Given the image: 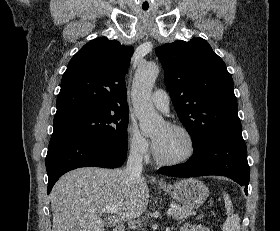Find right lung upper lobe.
I'll return each instance as SVG.
<instances>
[{
	"label": "right lung upper lobe",
	"instance_id": "obj_1",
	"mask_svg": "<svg viewBox=\"0 0 280 231\" xmlns=\"http://www.w3.org/2000/svg\"><path fill=\"white\" fill-rule=\"evenodd\" d=\"M133 48L106 37L85 44L61 80L54 122L128 111L125 75Z\"/></svg>",
	"mask_w": 280,
	"mask_h": 231
}]
</instances>
